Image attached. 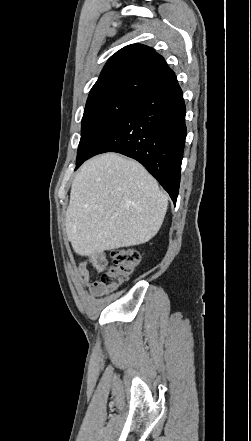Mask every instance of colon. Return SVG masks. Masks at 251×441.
<instances>
[{
    "mask_svg": "<svg viewBox=\"0 0 251 441\" xmlns=\"http://www.w3.org/2000/svg\"><path fill=\"white\" fill-rule=\"evenodd\" d=\"M111 257L101 282L108 287H115L133 275L140 262V253L135 249L123 247L114 250Z\"/></svg>",
    "mask_w": 251,
    "mask_h": 441,
    "instance_id": "1",
    "label": "colon"
}]
</instances>
